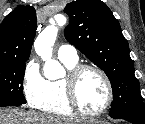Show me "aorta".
<instances>
[{"mask_svg": "<svg viewBox=\"0 0 145 124\" xmlns=\"http://www.w3.org/2000/svg\"><path fill=\"white\" fill-rule=\"evenodd\" d=\"M58 34V28L53 20H50V25L47 26L34 42V47L37 55L45 62L43 71L44 76L48 80H56L64 77L65 71L61 64L52 59V46L54 45Z\"/></svg>", "mask_w": 145, "mask_h": 124, "instance_id": "aorta-1", "label": "aorta"}]
</instances>
